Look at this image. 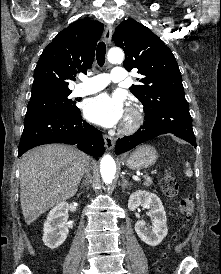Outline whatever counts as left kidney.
<instances>
[{"label": "left kidney", "mask_w": 221, "mask_h": 274, "mask_svg": "<svg viewBox=\"0 0 221 274\" xmlns=\"http://www.w3.org/2000/svg\"><path fill=\"white\" fill-rule=\"evenodd\" d=\"M139 206L150 209L152 217V227L148 229L144 221L135 223V231L139 238L150 246H157L168 233L167 218L160 198L154 193L139 190L129 197L128 208L134 211Z\"/></svg>", "instance_id": "obj_1"}]
</instances>
